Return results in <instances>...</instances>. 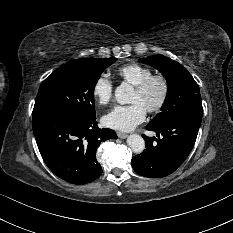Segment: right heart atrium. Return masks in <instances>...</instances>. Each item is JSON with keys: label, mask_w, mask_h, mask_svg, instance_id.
Segmentation results:
<instances>
[{"label": "right heart atrium", "mask_w": 233, "mask_h": 233, "mask_svg": "<svg viewBox=\"0 0 233 233\" xmlns=\"http://www.w3.org/2000/svg\"><path fill=\"white\" fill-rule=\"evenodd\" d=\"M113 88V82L108 76L104 74L98 76L92 86V94L96 102L100 105L109 103L113 95Z\"/></svg>", "instance_id": "right-heart-atrium-1"}]
</instances>
